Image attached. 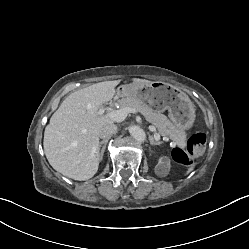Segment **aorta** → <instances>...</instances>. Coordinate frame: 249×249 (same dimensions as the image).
<instances>
[{
  "label": "aorta",
  "instance_id": "aorta-1",
  "mask_svg": "<svg viewBox=\"0 0 249 249\" xmlns=\"http://www.w3.org/2000/svg\"><path fill=\"white\" fill-rule=\"evenodd\" d=\"M131 136L138 142H143L146 139V134L143 129L138 126H131L129 128Z\"/></svg>",
  "mask_w": 249,
  "mask_h": 249
}]
</instances>
